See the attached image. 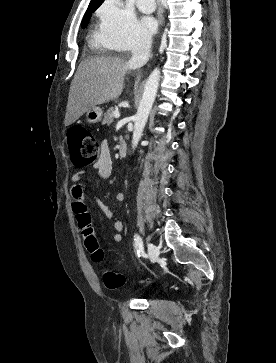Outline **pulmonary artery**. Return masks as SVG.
Here are the masks:
<instances>
[{"instance_id":"1","label":"pulmonary artery","mask_w":276,"mask_h":363,"mask_svg":"<svg viewBox=\"0 0 276 363\" xmlns=\"http://www.w3.org/2000/svg\"><path fill=\"white\" fill-rule=\"evenodd\" d=\"M137 6L144 13H152L155 10V0H137Z\"/></svg>"}]
</instances>
